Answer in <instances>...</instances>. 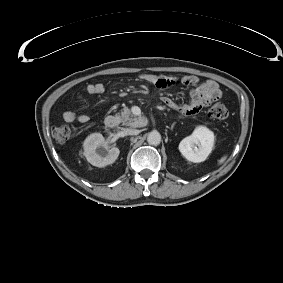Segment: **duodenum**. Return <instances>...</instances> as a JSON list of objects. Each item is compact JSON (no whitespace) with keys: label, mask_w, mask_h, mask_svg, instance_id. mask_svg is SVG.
<instances>
[{"label":"duodenum","mask_w":283,"mask_h":283,"mask_svg":"<svg viewBox=\"0 0 283 283\" xmlns=\"http://www.w3.org/2000/svg\"><path fill=\"white\" fill-rule=\"evenodd\" d=\"M104 124L108 129H113L117 126L118 120L115 116H107L104 120Z\"/></svg>","instance_id":"duodenum-1"}]
</instances>
